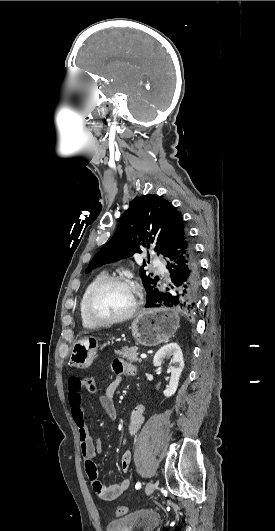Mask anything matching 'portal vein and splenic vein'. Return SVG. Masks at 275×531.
I'll use <instances>...</instances> for the list:
<instances>
[{
    "mask_svg": "<svg viewBox=\"0 0 275 531\" xmlns=\"http://www.w3.org/2000/svg\"><path fill=\"white\" fill-rule=\"evenodd\" d=\"M141 359H146L147 355H140Z\"/></svg>",
    "mask_w": 275,
    "mask_h": 531,
    "instance_id": "1",
    "label": "portal vein and splenic vein"
}]
</instances>
